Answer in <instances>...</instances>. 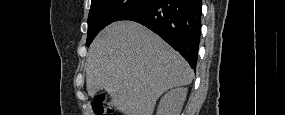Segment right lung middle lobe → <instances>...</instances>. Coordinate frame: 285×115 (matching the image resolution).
Returning a JSON list of instances; mask_svg holds the SVG:
<instances>
[{"instance_id": "right-lung-middle-lobe-1", "label": "right lung middle lobe", "mask_w": 285, "mask_h": 115, "mask_svg": "<svg viewBox=\"0 0 285 115\" xmlns=\"http://www.w3.org/2000/svg\"><path fill=\"white\" fill-rule=\"evenodd\" d=\"M150 1L151 0H91L86 45L89 46L95 36L104 27Z\"/></svg>"}]
</instances>
